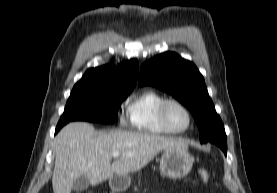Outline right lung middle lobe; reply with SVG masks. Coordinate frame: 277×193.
I'll list each match as a JSON object with an SVG mask.
<instances>
[{
    "mask_svg": "<svg viewBox=\"0 0 277 193\" xmlns=\"http://www.w3.org/2000/svg\"><path fill=\"white\" fill-rule=\"evenodd\" d=\"M129 93L73 89L58 124L70 121L113 123L120 104Z\"/></svg>",
    "mask_w": 277,
    "mask_h": 193,
    "instance_id": "right-lung-middle-lobe-1",
    "label": "right lung middle lobe"
}]
</instances>
